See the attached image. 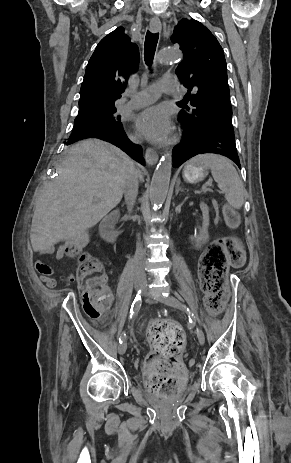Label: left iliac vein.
<instances>
[{"instance_id": "1", "label": "left iliac vein", "mask_w": 291, "mask_h": 463, "mask_svg": "<svg viewBox=\"0 0 291 463\" xmlns=\"http://www.w3.org/2000/svg\"><path fill=\"white\" fill-rule=\"evenodd\" d=\"M145 294L147 295V292H145ZM156 299L167 306L183 310L181 303L174 297L156 296ZM196 335L200 345H203L205 343V335L201 328L196 327Z\"/></svg>"}]
</instances>
